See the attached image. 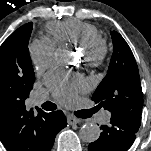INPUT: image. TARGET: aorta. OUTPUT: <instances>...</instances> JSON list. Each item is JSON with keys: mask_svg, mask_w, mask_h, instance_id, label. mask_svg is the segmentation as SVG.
I'll list each match as a JSON object with an SVG mask.
<instances>
[{"mask_svg": "<svg viewBox=\"0 0 151 151\" xmlns=\"http://www.w3.org/2000/svg\"><path fill=\"white\" fill-rule=\"evenodd\" d=\"M57 60L59 62H69L71 53L66 49H61L57 52ZM80 139L87 143L95 142L100 136V128L94 123H85L80 128Z\"/></svg>", "mask_w": 151, "mask_h": 151, "instance_id": "762f6f07", "label": "aorta"}]
</instances>
